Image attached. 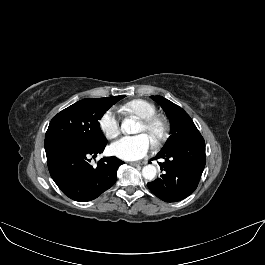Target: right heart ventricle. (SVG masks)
<instances>
[{
  "label": "right heart ventricle",
  "mask_w": 265,
  "mask_h": 265,
  "mask_svg": "<svg viewBox=\"0 0 265 265\" xmlns=\"http://www.w3.org/2000/svg\"><path fill=\"white\" fill-rule=\"evenodd\" d=\"M120 111L135 115L140 119L157 115L156 106L144 99H134L125 103L120 107Z\"/></svg>",
  "instance_id": "e07e8e85"
}]
</instances>
